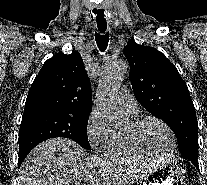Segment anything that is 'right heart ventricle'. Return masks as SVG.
I'll use <instances>...</instances> for the list:
<instances>
[{"label": "right heart ventricle", "mask_w": 207, "mask_h": 185, "mask_svg": "<svg viewBox=\"0 0 207 185\" xmlns=\"http://www.w3.org/2000/svg\"><path fill=\"white\" fill-rule=\"evenodd\" d=\"M104 157L114 163L130 164L149 161L129 144L125 131H113L103 148Z\"/></svg>", "instance_id": "obj_1"}]
</instances>
